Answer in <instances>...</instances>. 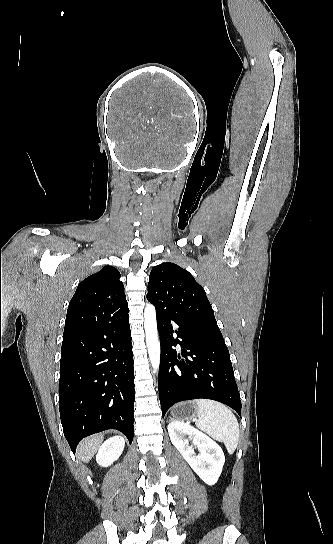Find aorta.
<instances>
[{
    "mask_svg": "<svg viewBox=\"0 0 333 544\" xmlns=\"http://www.w3.org/2000/svg\"><path fill=\"white\" fill-rule=\"evenodd\" d=\"M144 327L149 359L153 372L159 370L160 365V341L158 338L155 307L147 304L144 310Z\"/></svg>",
    "mask_w": 333,
    "mask_h": 544,
    "instance_id": "1",
    "label": "aorta"
}]
</instances>
